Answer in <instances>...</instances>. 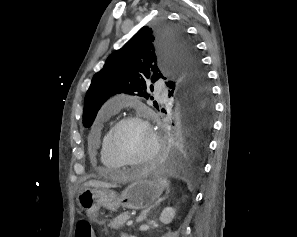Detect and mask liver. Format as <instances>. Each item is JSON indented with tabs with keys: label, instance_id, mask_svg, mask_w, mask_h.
I'll return each mask as SVG.
<instances>
[{
	"label": "liver",
	"instance_id": "6515ba94",
	"mask_svg": "<svg viewBox=\"0 0 297 237\" xmlns=\"http://www.w3.org/2000/svg\"><path fill=\"white\" fill-rule=\"evenodd\" d=\"M84 187L111 188L115 187V185L98 180H90L84 184Z\"/></svg>",
	"mask_w": 297,
	"mask_h": 237
}]
</instances>
